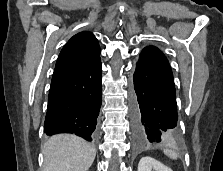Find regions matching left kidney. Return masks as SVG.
<instances>
[{"label":"left kidney","mask_w":223,"mask_h":171,"mask_svg":"<svg viewBox=\"0 0 223 171\" xmlns=\"http://www.w3.org/2000/svg\"><path fill=\"white\" fill-rule=\"evenodd\" d=\"M138 171H172V169L152 157L145 156L139 161Z\"/></svg>","instance_id":"left-kidney-1"}]
</instances>
